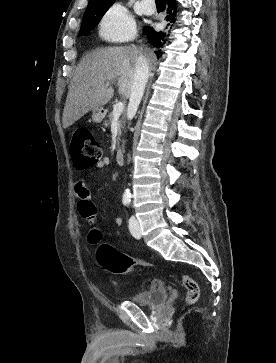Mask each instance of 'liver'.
I'll use <instances>...</instances> for the list:
<instances>
[{
  "label": "liver",
  "mask_w": 276,
  "mask_h": 363,
  "mask_svg": "<svg viewBox=\"0 0 276 363\" xmlns=\"http://www.w3.org/2000/svg\"><path fill=\"white\" fill-rule=\"evenodd\" d=\"M144 56L151 65L152 52L136 47H107L87 54L78 64L69 85L63 111V127L68 128L89 111L107 104L114 95L106 83L118 80V91L130 97L136 60Z\"/></svg>",
  "instance_id": "obj_1"
}]
</instances>
